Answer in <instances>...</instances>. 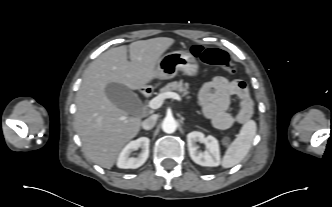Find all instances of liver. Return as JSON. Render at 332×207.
<instances>
[{"instance_id": "obj_1", "label": "liver", "mask_w": 332, "mask_h": 207, "mask_svg": "<svg viewBox=\"0 0 332 207\" xmlns=\"http://www.w3.org/2000/svg\"><path fill=\"white\" fill-rule=\"evenodd\" d=\"M174 42L172 38L159 37L111 48L84 71L76 96L75 129L85 155L95 164L112 168L141 126V118L129 116L109 100L106 86L120 83L130 90L146 86L156 78L158 60Z\"/></svg>"}]
</instances>
